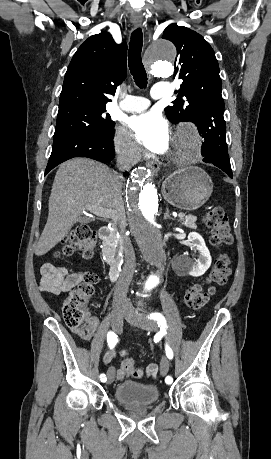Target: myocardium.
Returning a JSON list of instances; mask_svg holds the SVG:
<instances>
[{
    "label": "myocardium",
    "instance_id": "myocardium-1",
    "mask_svg": "<svg viewBox=\"0 0 271 459\" xmlns=\"http://www.w3.org/2000/svg\"><path fill=\"white\" fill-rule=\"evenodd\" d=\"M172 151V147H169L167 152H171Z\"/></svg>",
    "mask_w": 271,
    "mask_h": 459
}]
</instances>
